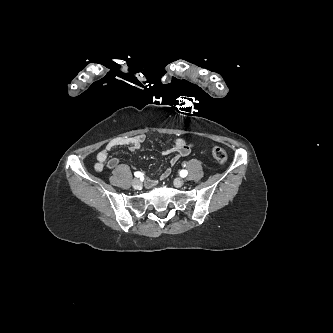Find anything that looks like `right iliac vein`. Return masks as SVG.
<instances>
[{
	"mask_svg": "<svg viewBox=\"0 0 333 333\" xmlns=\"http://www.w3.org/2000/svg\"><path fill=\"white\" fill-rule=\"evenodd\" d=\"M132 185L135 189H140L142 186V183L139 179L135 178L132 180Z\"/></svg>",
	"mask_w": 333,
	"mask_h": 333,
	"instance_id": "obj_1",
	"label": "right iliac vein"
}]
</instances>
